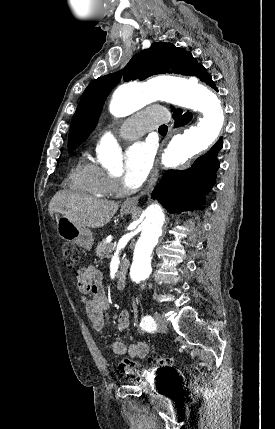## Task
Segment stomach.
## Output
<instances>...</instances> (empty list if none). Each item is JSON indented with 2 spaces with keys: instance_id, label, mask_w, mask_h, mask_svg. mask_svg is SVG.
<instances>
[{
  "instance_id": "1",
  "label": "stomach",
  "mask_w": 275,
  "mask_h": 429,
  "mask_svg": "<svg viewBox=\"0 0 275 429\" xmlns=\"http://www.w3.org/2000/svg\"><path fill=\"white\" fill-rule=\"evenodd\" d=\"M134 209L135 208L123 207L122 212L128 214L133 212ZM55 229L61 238L74 242L86 250H90L92 248L94 236L91 230L75 225L66 216H56Z\"/></svg>"
}]
</instances>
